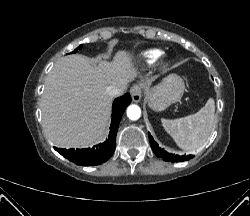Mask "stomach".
I'll list each match as a JSON object with an SVG mask.
<instances>
[{
    "mask_svg": "<svg viewBox=\"0 0 250 216\" xmlns=\"http://www.w3.org/2000/svg\"><path fill=\"white\" fill-rule=\"evenodd\" d=\"M184 91V81L177 74H170L158 85L147 86L145 89L148 105L155 111H162L179 101Z\"/></svg>",
    "mask_w": 250,
    "mask_h": 216,
    "instance_id": "stomach-1",
    "label": "stomach"
}]
</instances>
